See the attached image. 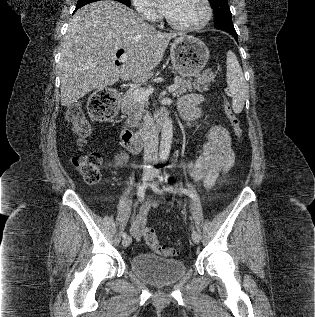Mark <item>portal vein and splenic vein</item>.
<instances>
[{
	"instance_id": "18ae733b",
	"label": "portal vein and splenic vein",
	"mask_w": 315,
	"mask_h": 317,
	"mask_svg": "<svg viewBox=\"0 0 315 317\" xmlns=\"http://www.w3.org/2000/svg\"><path fill=\"white\" fill-rule=\"evenodd\" d=\"M121 62L122 63H126L127 62V56L126 55H123L122 58H121ZM177 83L173 84L172 86H170L168 88V91L169 92H174L176 89H177ZM154 89L153 88H148L146 90H141L139 88H136L134 90V96L135 98L138 100V101H141V100H144L146 99L149 95H151L153 93Z\"/></svg>"
}]
</instances>
